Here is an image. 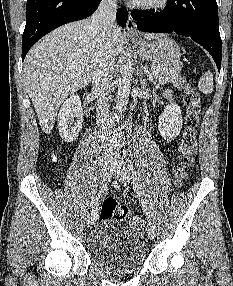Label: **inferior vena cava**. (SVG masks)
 Instances as JSON below:
<instances>
[{
    "instance_id": "602c4592",
    "label": "inferior vena cava",
    "mask_w": 233,
    "mask_h": 286,
    "mask_svg": "<svg viewBox=\"0 0 233 286\" xmlns=\"http://www.w3.org/2000/svg\"><path fill=\"white\" fill-rule=\"evenodd\" d=\"M116 19V0H102L92 17V28L99 32L98 49L93 59L92 91L97 94V123L103 137L109 129L108 91L114 65V50L111 43V28ZM111 151V148H107Z\"/></svg>"
}]
</instances>
